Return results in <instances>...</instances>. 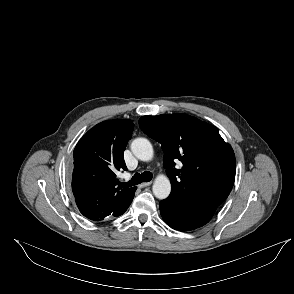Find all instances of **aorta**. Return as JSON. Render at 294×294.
<instances>
[{
    "mask_svg": "<svg viewBox=\"0 0 294 294\" xmlns=\"http://www.w3.org/2000/svg\"><path fill=\"white\" fill-rule=\"evenodd\" d=\"M133 154L141 161H150L153 158V147L149 140L136 138L131 143ZM153 194L158 199H166L171 192L170 180L165 175L156 177L153 184Z\"/></svg>",
    "mask_w": 294,
    "mask_h": 294,
    "instance_id": "1",
    "label": "aorta"
}]
</instances>
